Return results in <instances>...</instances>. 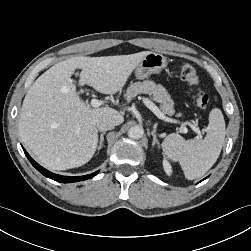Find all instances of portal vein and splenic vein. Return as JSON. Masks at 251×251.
<instances>
[{
  "instance_id": "portal-vein-and-splenic-vein-1",
  "label": "portal vein and splenic vein",
  "mask_w": 251,
  "mask_h": 251,
  "mask_svg": "<svg viewBox=\"0 0 251 251\" xmlns=\"http://www.w3.org/2000/svg\"><path fill=\"white\" fill-rule=\"evenodd\" d=\"M83 90L81 89L80 92H82ZM143 102L145 103V105L160 119L164 120V121H167V122H173V123H177L176 120H173L171 118H168L166 117L161 111L160 109L151 101L149 100L148 98H143ZM104 102L101 101V100H98V99H92L91 102H90V105L91 107H94V108H98L99 106H101ZM183 126L185 125H189L190 128L200 134V130L198 128H196L193 124L191 123H182ZM183 133H187L188 130L186 127L183 128L182 130Z\"/></svg>"
}]
</instances>
